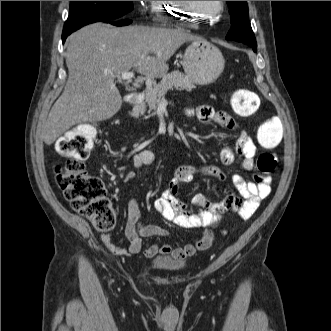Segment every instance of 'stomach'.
Listing matches in <instances>:
<instances>
[{"mask_svg":"<svg viewBox=\"0 0 331 331\" xmlns=\"http://www.w3.org/2000/svg\"><path fill=\"white\" fill-rule=\"evenodd\" d=\"M186 76L196 84L214 82L222 73L225 60L220 50L210 42L200 39L192 41L181 61Z\"/></svg>","mask_w":331,"mask_h":331,"instance_id":"1","label":"stomach"}]
</instances>
